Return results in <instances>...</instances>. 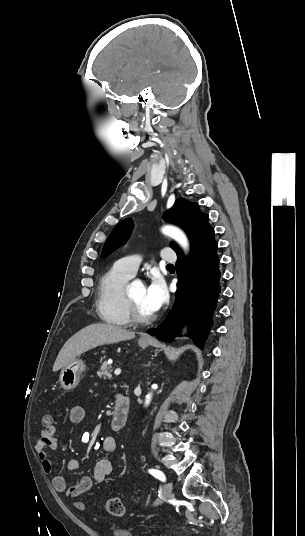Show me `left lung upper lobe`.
Returning <instances> with one entry per match:
<instances>
[{
	"instance_id": "left-lung-upper-lobe-1",
	"label": "left lung upper lobe",
	"mask_w": 305,
	"mask_h": 536,
	"mask_svg": "<svg viewBox=\"0 0 305 536\" xmlns=\"http://www.w3.org/2000/svg\"><path fill=\"white\" fill-rule=\"evenodd\" d=\"M163 218L169 223H173L182 227L186 232L191 247L195 242L210 228L208 224V215L199 211V206L196 203H191L184 198H179L175 201ZM133 228L131 219H124L111 232L105 242L101 257L109 255L116 248L120 247L128 239ZM170 247L177 253L182 254L179 246L172 242Z\"/></svg>"
}]
</instances>
